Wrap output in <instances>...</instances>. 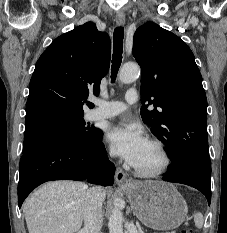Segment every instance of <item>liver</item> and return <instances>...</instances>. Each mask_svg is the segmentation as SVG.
Wrapping results in <instances>:
<instances>
[{"instance_id": "liver-1", "label": "liver", "mask_w": 227, "mask_h": 233, "mask_svg": "<svg viewBox=\"0 0 227 233\" xmlns=\"http://www.w3.org/2000/svg\"><path fill=\"white\" fill-rule=\"evenodd\" d=\"M87 190V184L72 181L41 186L23 204L29 233H76L84 219Z\"/></svg>"}]
</instances>
